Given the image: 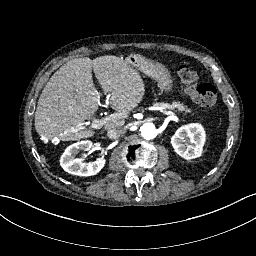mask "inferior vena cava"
<instances>
[{
  "label": "inferior vena cava",
  "instance_id": "inferior-vena-cava-1",
  "mask_svg": "<svg viewBox=\"0 0 256 256\" xmlns=\"http://www.w3.org/2000/svg\"><path fill=\"white\" fill-rule=\"evenodd\" d=\"M126 133L125 127H114L112 129H109L107 132V136L110 139H117L120 136H123Z\"/></svg>",
  "mask_w": 256,
  "mask_h": 256
}]
</instances>
